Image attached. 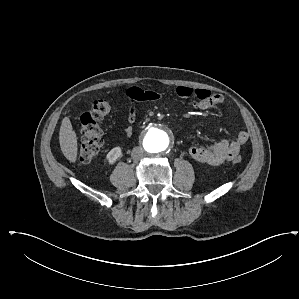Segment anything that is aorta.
<instances>
[{"mask_svg": "<svg viewBox=\"0 0 299 299\" xmlns=\"http://www.w3.org/2000/svg\"><path fill=\"white\" fill-rule=\"evenodd\" d=\"M170 144L167 132L158 127H151L143 138L145 151L152 156L164 153Z\"/></svg>", "mask_w": 299, "mask_h": 299, "instance_id": "1", "label": "aorta"}]
</instances>
